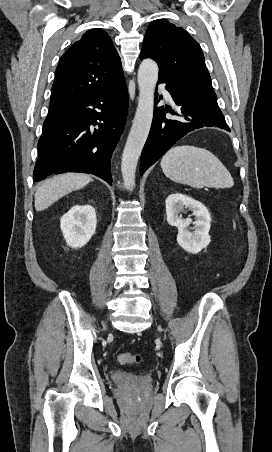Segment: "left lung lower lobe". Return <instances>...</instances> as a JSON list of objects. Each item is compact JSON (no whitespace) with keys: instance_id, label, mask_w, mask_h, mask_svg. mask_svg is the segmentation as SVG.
Here are the masks:
<instances>
[{"instance_id":"obj_1","label":"left lung lower lobe","mask_w":272,"mask_h":452,"mask_svg":"<svg viewBox=\"0 0 272 452\" xmlns=\"http://www.w3.org/2000/svg\"><path fill=\"white\" fill-rule=\"evenodd\" d=\"M160 83H166V90L171 94L177 108L156 107L141 155V175L188 132L202 127H218L230 131L214 92L168 77H159L157 84ZM158 101L155 98V106ZM166 112L176 118L167 119Z\"/></svg>"}]
</instances>
